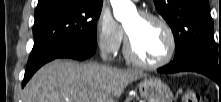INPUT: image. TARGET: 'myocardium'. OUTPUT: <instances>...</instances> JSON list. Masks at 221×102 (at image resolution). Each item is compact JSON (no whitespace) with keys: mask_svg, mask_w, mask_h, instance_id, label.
I'll use <instances>...</instances> for the list:
<instances>
[{"mask_svg":"<svg viewBox=\"0 0 221 102\" xmlns=\"http://www.w3.org/2000/svg\"><path fill=\"white\" fill-rule=\"evenodd\" d=\"M138 15L146 20H152L159 23L166 31L169 38V49L165 57L157 62H146L136 53L129 34H126V54L131 62L145 69H157L167 65L175 55L177 49V40L173 28L162 16L149 11H140Z\"/></svg>","mask_w":221,"mask_h":102,"instance_id":"f54148a6","label":"myocardium"}]
</instances>
